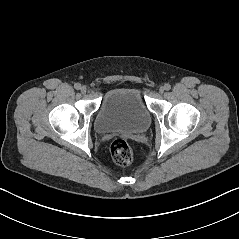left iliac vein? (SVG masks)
<instances>
[{"label":"left iliac vein","mask_w":239,"mask_h":239,"mask_svg":"<svg viewBox=\"0 0 239 239\" xmlns=\"http://www.w3.org/2000/svg\"><path fill=\"white\" fill-rule=\"evenodd\" d=\"M165 91V87L164 86H161L160 88H159V93H163Z\"/></svg>","instance_id":"left-iliac-vein-1"}]
</instances>
